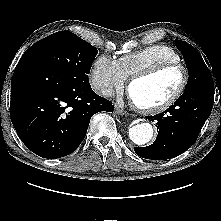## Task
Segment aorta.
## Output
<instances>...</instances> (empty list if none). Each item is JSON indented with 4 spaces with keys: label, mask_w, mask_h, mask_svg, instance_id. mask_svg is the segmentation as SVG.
Listing matches in <instances>:
<instances>
[{
    "label": "aorta",
    "mask_w": 221,
    "mask_h": 221,
    "mask_svg": "<svg viewBox=\"0 0 221 221\" xmlns=\"http://www.w3.org/2000/svg\"><path fill=\"white\" fill-rule=\"evenodd\" d=\"M130 139L137 145L147 144L153 137V127L150 123H140L129 129Z\"/></svg>",
    "instance_id": "obj_1"
}]
</instances>
